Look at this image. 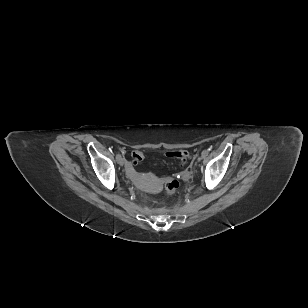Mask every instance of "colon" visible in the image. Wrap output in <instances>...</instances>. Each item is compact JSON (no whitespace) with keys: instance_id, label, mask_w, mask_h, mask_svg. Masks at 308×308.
Returning a JSON list of instances; mask_svg holds the SVG:
<instances>
[{"instance_id":"obj_1","label":"colon","mask_w":308,"mask_h":308,"mask_svg":"<svg viewBox=\"0 0 308 308\" xmlns=\"http://www.w3.org/2000/svg\"><path fill=\"white\" fill-rule=\"evenodd\" d=\"M168 156L178 158L183 162L186 161V159H187V153L185 151L169 152ZM132 158H133V161L135 163H138V162L142 161L143 154L141 152H134L133 155H132ZM163 184H164L165 190L169 194L176 193L178 188H179V182L176 179L171 178V177L164 178Z\"/></svg>"}]
</instances>
